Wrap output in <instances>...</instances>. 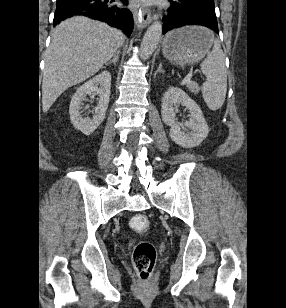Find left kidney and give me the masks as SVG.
<instances>
[{
	"mask_svg": "<svg viewBox=\"0 0 286 308\" xmlns=\"http://www.w3.org/2000/svg\"><path fill=\"white\" fill-rule=\"evenodd\" d=\"M185 106L190 112V119L184 124L176 119L175 107ZM162 120L171 127L169 136L176 144L184 148H193L201 144L209 133L208 125L198 104L191 99L182 89L171 87L165 92L162 99ZM187 127L189 132L181 129Z\"/></svg>",
	"mask_w": 286,
	"mask_h": 308,
	"instance_id": "5707ae66",
	"label": "left kidney"
}]
</instances>
